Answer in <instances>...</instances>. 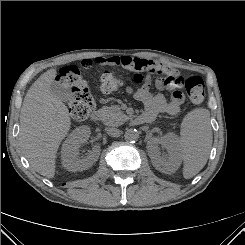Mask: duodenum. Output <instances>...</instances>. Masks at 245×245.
I'll use <instances>...</instances> for the list:
<instances>
[{"mask_svg":"<svg viewBox=\"0 0 245 245\" xmlns=\"http://www.w3.org/2000/svg\"><path fill=\"white\" fill-rule=\"evenodd\" d=\"M91 119L95 122H98L101 120V113L99 111H94L91 114ZM151 119L145 115H138L133 119V123L136 125H141L144 124L146 122H150Z\"/></svg>","mask_w":245,"mask_h":245,"instance_id":"obj_1","label":"duodenum"}]
</instances>
